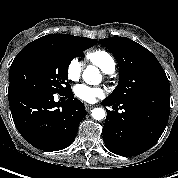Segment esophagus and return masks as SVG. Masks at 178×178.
Here are the masks:
<instances>
[{"label": "esophagus", "instance_id": "esophagus-1", "mask_svg": "<svg viewBox=\"0 0 178 178\" xmlns=\"http://www.w3.org/2000/svg\"><path fill=\"white\" fill-rule=\"evenodd\" d=\"M93 107H94V105L85 104L86 111H90Z\"/></svg>", "mask_w": 178, "mask_h": 178}]
</instances>
